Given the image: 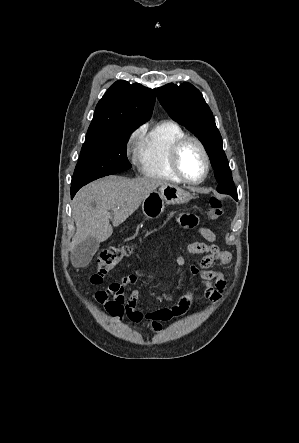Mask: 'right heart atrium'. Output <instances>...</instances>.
Instances as JSON below:
<instances>
[{"label": "right heart atrium", "instance_id": "d8ad5b80", "mask_svg": "<svg viewBox=\"0 0 299 443\" xmlns=\"http://www.w3.org/2000/svg\"><path fill=\"white\" fill-rule=\"evenodd\" d=\"M142 132L143 128H137L130 134L126 144L127 150H132L136 147L137 140L139 139Z\"/></svg>", "mask_w": 299, "mask_h": 443}]
</instances>
